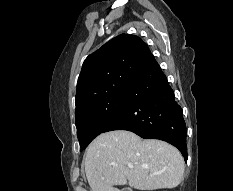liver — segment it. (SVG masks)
Segmentation results:
<instances>
[{
  "mask_svg": "<svg viewBox=\"0 0 233 191\" xmlns=\"http://www.w3.org/2000/svg\"><path fill=\"white\" fill-rule=\"evenodd\" d=\"M84 162L92 191H120L114 186L127 181L138 190L175 188L185 168L174 146L156 139L142 140L127 130L100 134L88 146Z\"/></svg>",
  "mask_w": 233,
  "mask_h": 191,
  "instance_id": "obj_1",
  "label": "liver"
}]
</instances>
